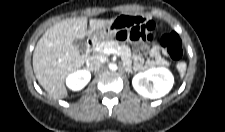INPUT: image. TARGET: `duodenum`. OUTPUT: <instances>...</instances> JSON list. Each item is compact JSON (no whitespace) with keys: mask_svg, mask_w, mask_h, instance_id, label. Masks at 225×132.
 <instances>
[{"mask_svg":"<svg viewBox=\"0 0 225 132\" xmlns=\"http://www.w3.org/2000/svg\"><path fill=\"white\" fill-rule=\"evenodd\" d=\"M86 45H87V50L91 52L95 46V40L93 38H88Z\"/></svg>","mask_w":225,"mask_h":132,"instance_id":"obj_1","label":"duodenum"}]
</instances>
